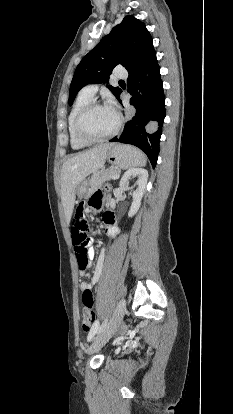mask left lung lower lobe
<instances>
[{
	"mask_svg": "<svg viewBox=\"0 0 233 414\" xmlns=\"http://www.w3.org/2000/svg\"><path fill=\"white\" fill-rule=\"evenodd\" d=\"M159 70L154 52L140 67L129 72L127 86L132 95L130 104L136 112L126 123L122 134L110 140L140 148L148 156L153 168L157 163L165 118V96Z\"/></svg>",
	"mask_w": 233,
	"mask_h": 414,
	"instance_id": "0a47b994",
	"label": "left lung lower lobe"
}]
</instances>
